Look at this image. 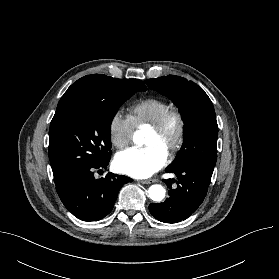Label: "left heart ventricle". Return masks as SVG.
<instances>
[{
	"mask_svg": "<svg viewBox=\"0 0 279 279\" xmlns=\"http://www.w3.org/2000/svg\"><path fill=\"white\" fill-rule=\"evenodd\" d=\"M177 135V123L172 120L167 129L161 133L150 130L145 139V145H155L168 153Z\"/></svg>",
	"mask_w": 279,
	"mask_h": 279,
	"instance_id": "left-heart-ventricle-1",
	"label": "left heart ventricle"
}]
</instances>
